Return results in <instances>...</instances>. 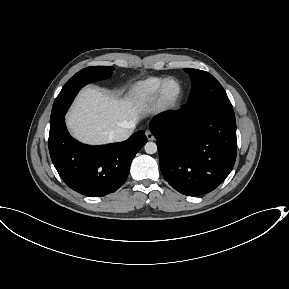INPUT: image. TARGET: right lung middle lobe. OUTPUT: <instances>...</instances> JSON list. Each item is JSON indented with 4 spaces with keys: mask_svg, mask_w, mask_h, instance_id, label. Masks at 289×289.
<instances>
[{
    "mask_svg": "<svg viewBox=\"0 0 289 289\" xmlns=\"http://www.w3.org/2000/svg\"><path fill=\"white\" fill-rule=\"evenodd\" d=\"M113 70L114 67L92 66L80 70L71 77L54 101L50 124L55 123L65 115L74 97L83 86L109 78Z\"/></svg>",
    "mask_w": 289,
    "mask_h": 289,
    "instance_id": "1",
    "label": "right lung middle lobe"
}]
</instances>
